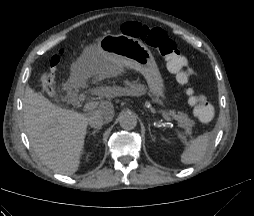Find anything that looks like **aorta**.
I'll use <instances>...</instances> for the list:
<instances>
[{"instance_id":"aorta-1","label":"aorta","mask_w":254,"mask_h":216,"mask_svg":"<svg viewBox=\"0 0 254 216\" xmlns=\"http://www.w3.org/2000/svg\"><path fill=\"white\" fill-rule=\"evenodd\" d=\"M119 124L123 129L131 130L137 125V118L134 114L124 113L119 116Z\"/></svg>"}]
</instances>
